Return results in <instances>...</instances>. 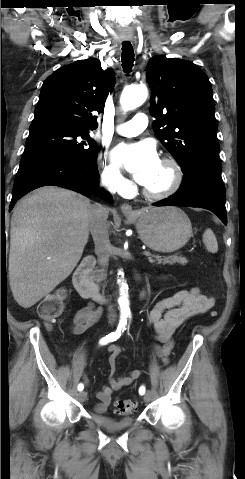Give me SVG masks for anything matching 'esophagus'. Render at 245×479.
I'll use <instances>...</instances> for the list:
<instances>
[{
	"mask_svg": "<svg viewBox=\"0 0 245 479\" xmlns=\"http://www.w3.org/2000/svg\"><path fill=\"white\" fill-rule=\"evenodd\" d=\"M121 211L126 215L134 214L132 206L128 203H124L121 205Z\"/></svg>",
	"mask_w": 245,
	"mask_h": 479,
	"instance_id": "esophagus-1",
	"label": "esophagus"
}]
</instances>
